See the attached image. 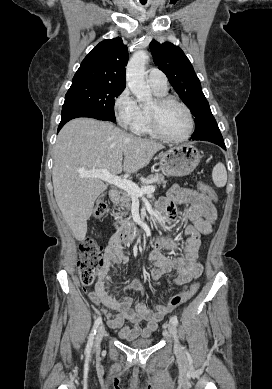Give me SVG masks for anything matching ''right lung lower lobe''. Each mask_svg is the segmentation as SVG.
Wrapping results in <instances>:
<instances>
[{
  "label": "right lung lower lobe",
  "instance_id": "right-lung-lower-lobe-1",
  "mask_svg": "<svg viewBox=\"0 0 272 389\" xmlns=\"http://www.w3.org/2000/svg\"><path fill=\"white\" fill-rule=\"evenodd\" d=\"M78 117H90V118H95L98 120L109 121L108 119H106V118H104L96 113L86 111V110H81V109L64 110L61 113V122L58 126V132L65 125V123H67L71 119L78 118Z\"/></svg>",
  "mask_w": 272,
  "mask_h": 389
}]
</instances>
